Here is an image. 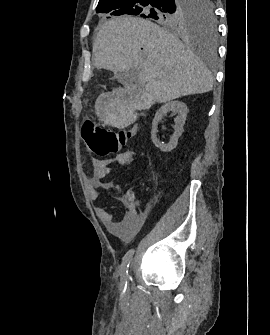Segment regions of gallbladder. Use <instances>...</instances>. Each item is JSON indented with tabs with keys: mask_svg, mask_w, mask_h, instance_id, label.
<instances>
[{
	"mask_svg": "<svg viewBox=\"0 0 270 335\" xmlns=\"http://www.w3.org/2000/svg\"><path fill=\"white\" fill-rule=\"evenodd\" d=\"M126 74L127 72H123V74H121V78H126Z\"/></svg>",
	"mask_w": 270,
	"mask_h": 335,
	"instance_id": "1",
	"label": "gallbladder"
}]
</instances>
